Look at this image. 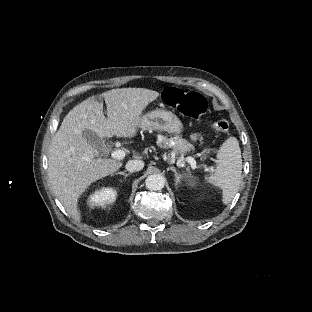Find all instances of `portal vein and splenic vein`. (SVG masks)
<instances>
[{
  "mask_svg": "<svg viewBox=\"0 0 312 312\" xmlns=\"http://www.w3.org/2000/svg\"><path fill=\"white\" fill-rule=\"evenodd\" d=\"M124 155H125V153L123 150L116 149V150H113L111 152L110 157L112 159L122 160L124 158ZM188 163L191 165L192 169L197 168L196 161L193 158H188Z\"/></svg>",
  "mask_w": 312,
  "mask_h": 312,
  "instance_id": "18ae733b",
  "label": "portal vein and splenic vein"
}]
</instances>
